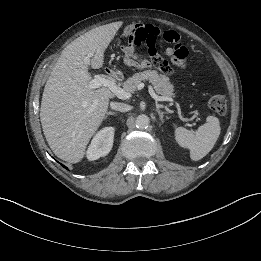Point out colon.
Returning a JSON list of instances; mask_svg holds the SVG:
<instances>
[{
    "mask_svg": "<svg viewBox=\"0 0 261 261\" xmlns=\"http://www.w3.org/2000/svg\"><path fill=\"white\" fill-rule=\"evenodd\" d=\"M120 33L123 37L129 38V41L133 42L134 45L145 46L150 58V64L163 73H170V67L168 62L158 53L157 40L173 44L178 55H185L177 29H161L148 21L139 23L132 20L128 25L121 28ZM208 107L211 111L224 115L227 111V101L222 95H214L209 98Z\"/></svg>",
    "mask_w": 261,
    "mask_h": 261,
    "instance_id": "obj_1",
    "label": "colon"
}]
</instances>
